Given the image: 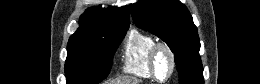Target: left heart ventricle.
<instances>
[{"label": "left heart ventricle", "instance_id": "obj_1", "mask_svg": "<svg viewBox=\"0 0 260 84\" xmlns=\"http://www.w3.org/2000/svg\"><path fill=\"white\" fill-rule=\"evenodd\" d=\"M170 70V60L165 52L159 54L157 58V75L163 79Z\"/></svg>", "mask_w": 260, "mask_h": 84}]
</instances>
